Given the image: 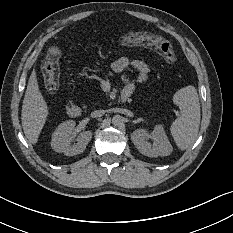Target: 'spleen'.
Listing matches in <instances>:
<instances>
[{
    "label": "spleen",
    "instance_id": "3e777b00",
    "mask_svg": "<svg viewBox=\"0 0 233 233\" xmlns=\"http://www.w3.org/2000/svg\"><path fill=\"white\" fill-rule=\"evenodd\" d=\"M175 103L181 116L171 124L172 136L181 149L192 146L200 124L199 98L194 86H187L177 92Z\"/></svg>",
    "mask_w": 233,
    "mask_h": 233
}]
</instances>
